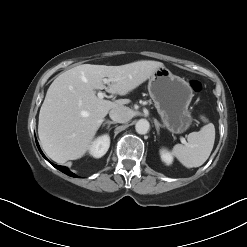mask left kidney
Returning a JSON list of instances; mask_svg holds the SVG:
<instances>
[{
	"instance_id": "obj_1",
	"label": "left kidney",
	"mask_w": 247,
	"mask_h": 247,
	"mask_svg": "<svg viewBox=\"0 0 247 247\" xmlns=\"http://www.w3.org/2000/svg\"><path fill=\"white\" fill-rule=\"evenodd\" d=\"M160 155L163 162H165L167 165L172 164L173 156L169 151H167L166 149H162L160 151Z\"/></svg>"
}]
</instances>
